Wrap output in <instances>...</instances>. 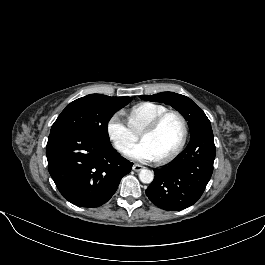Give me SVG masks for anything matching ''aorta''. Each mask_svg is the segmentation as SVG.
<instances>
[{"instance_id": "aorta-1", "label": "aorta", "mask_w": 265, "mask_h": 265, "mask_svg": "<svg viewBox=\"0 0 265 265\" xmlns=\"http://www.w3.org/2000/svg\"><path fill=\"white\" fill-rule=\"evenodd\" d=\"M139 179L142 183H151L154 179V173L149 169H142L139 173Z\"/></svg>"}]
</instances>
